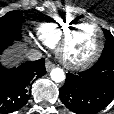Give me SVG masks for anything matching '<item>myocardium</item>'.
<instances>
[{
	"label": "myocardium",
	"mask_w": 114,
	"mask_h": 114,
	"mask_svg": "<svg viewBox=\"0 0 114 114\" xmlns=\"http://www.w3.org/2000/svg\"><path fill=\"white\" fill-rule=\"evenodd\" d=\"M92 24L95 28L97 35H98V42L94 51L83 59H72L67 54V49L76 33L78 28L84 24ZM103 33L100 26L93 20H81L74 23L63 35L62 39L60 40L59 44L57 45V56L61 60V62L69 68L72 69H82L86 68L92 63H94L100 56L102 49H103Z\"/></svg>",
	"instance_id": "1"
}]
</instances>
